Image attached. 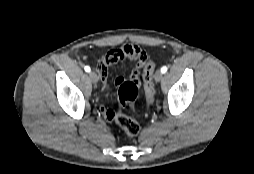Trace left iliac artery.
<instances>
[{
	"label": "left iliac artery",
	"instance_id": "obj_1",
	"mask_svg": "<svg viewBox=\"0 0 254 174\" xmlns=\"http://www.w3.org/2000/svg\"><path fill=\"white\" fill-rule=\"evenodd\" d=\"M161 72L164 74V73H166L167 72V67L166 66H163L162 68H161Z\"/></svg>",
	"mask_w": 254,
	"mask_h": 174
}]
</instances>
